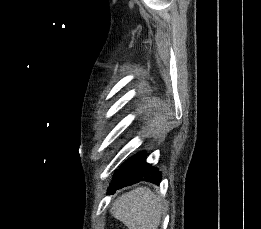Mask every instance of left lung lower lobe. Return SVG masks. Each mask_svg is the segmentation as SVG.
<instances>
[{
  "mask_svg": "<svg viewBox=\"0 0 261 229\" xmlns=\"http://www.w3.org/2000/svg\"><path fill=\"white\" fill-rule=\"evenodd\" d=\"M145 160L146 154L141 152L125 161L121 165L120 170L115 172L108 190L109 193L114 192L116 188L138 183V178L141 177H144L141 180L159 183L161 181V173L153 174L158 172V169L147 164Z\"/></svg>",
  "mask_w": 261,
  "mask_h": 229,
  "instance_id": "1",
  "label": "left lung lower lobe"
}]
</instances>
